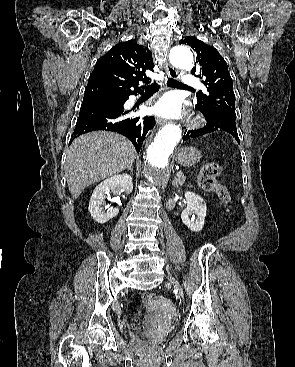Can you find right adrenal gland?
I'll list each match as a JSON object with an SVG mask.
<instances>
[{
	"mask_svg": "<svg viewBox=\"0 0 295 367\" xmlns=\"http://www.w3.org/2000/svg\"><path fill=\"white\" fill-rule=\"evenodd\" d=\"M127 170H129V171L132 173V172H133L132 166H129V167L127 168Z\"/></svg>",
	"mask_w": 295,
	"mask_h": 367,
	"instance_id": "right-adrenal-gland-1",
	"label": "right adrenal gland"
}]
</instances>
